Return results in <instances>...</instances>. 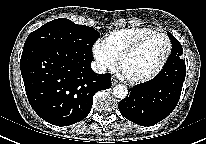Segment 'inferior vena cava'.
<instances>
[{
    "label": "inferior vena cava",
    "instance_id": "602c4592",
    "mask_svg": "<svg viewBox=\"0 0 206 144\" xmlns=\"http://www.w3.org/2000/svg\"><path fill=\"white\" fill-rule=\"evenodd\" d=\"M91 68L94 72L98 74H104L106 72V67L98 62H92Z\"/></svg>",
    "mask_w": 206,
    "mask_h": 144
}]
</instances>
